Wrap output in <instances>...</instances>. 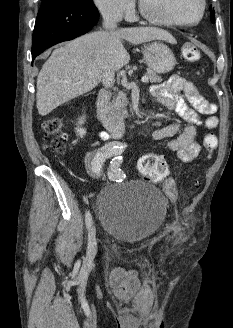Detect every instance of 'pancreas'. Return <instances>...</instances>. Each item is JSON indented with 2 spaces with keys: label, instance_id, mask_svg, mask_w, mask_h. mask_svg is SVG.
Instances as JSON below:
<instances>
[{
  "label": "pancreas",
  "instance_id": "pancreas-1",
  "mask_svg": "<svg viewBox=\"0 0 233 328\" xmlns=\"http://www.w3.org/2000/svg\"><path fill=\"white\" fill-rule=\"evenodd\" d=\"M145 76L149 79L151 83H160L162 82V78L157 75L153 70L147 69ZM128 105V99L126 97V93L123 91L118 92V94L113 98V100L108 104L107 109L110 114L117 118L121 115H126L127 110L126 107Z\"/></svg>",
  "mask_w": 233,
  "mask_h": 328
}]
</instances>
